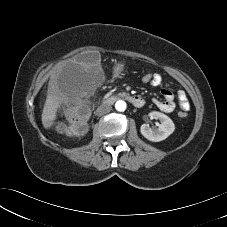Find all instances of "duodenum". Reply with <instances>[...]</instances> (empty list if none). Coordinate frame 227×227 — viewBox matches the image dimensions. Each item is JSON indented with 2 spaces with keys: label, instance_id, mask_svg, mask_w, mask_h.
I'll return each mask as SVG.
<instances>
[{
  "label": "duodenum",
  "instance_id": "obj_1",
  "mask_svg": "<svg viewBox=\"0 0 227 227\" xmlns=\"http://www.w3.org/2000/svg\"><path fill=\"white\" fill-rule=\"evenodd\" d=\"M117 99H125L137 108L143 107L144 104H145V101L142 97H140L138 95L128 94V93H119L115 96H112V97L106 99L105 103L106 104H112Z\"/></svg>",
  "mask_w": 227,
  "mask_h": 227
}]
</instances>
